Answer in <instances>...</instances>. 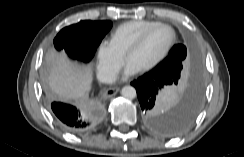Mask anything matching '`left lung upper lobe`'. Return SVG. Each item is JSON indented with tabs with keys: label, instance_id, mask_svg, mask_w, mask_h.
I'll return each mask as SVG.
<instances>
[{
	"label": "left lung upper lobe",
	"instance_id": "left-lung-upper-lobe-1",
	"mask_svg": "<svg viewBox=\"0 0 244 157\" xmlns=\"http://www.w3.org/2000/svg\"><path fill=\"white\" fill-rule=\"evenodd\" d=\"M189 56L187 55L184 45H175L169 52L168 56L160 62L153 71H157L174 81L175 85L181 75L189 66Z\"/></svg>",
	"mask_w": 244,
	"mask_h": 157
}]
</instances>
